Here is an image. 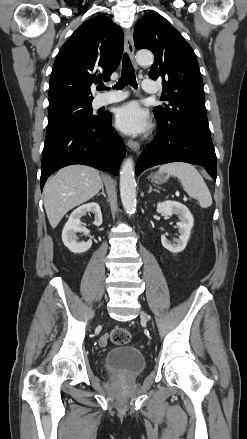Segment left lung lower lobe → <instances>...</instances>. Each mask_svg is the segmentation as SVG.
Wrapping results in <instances>:
<instances>
[{"label": "left lung lower lobe", "mask_w": 247, "mask_h": 439, "mask_svg": "<svg viewBox=\"0 0 247 439\" xmlns=\"http://www.w3.org/2000/svg\"><path fill=\"white\" fill-rule=\"evenodd\" d=\"M170 162H187L203 166L216 181V154L211 135L190 125L177 127L158 125L156 139L137 161L136 175L152 166Z\"/></svg>", "instance_id": "1"}]
</instances>
